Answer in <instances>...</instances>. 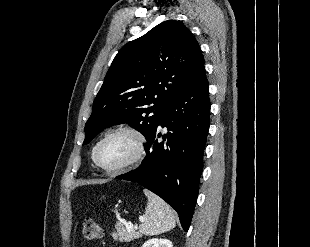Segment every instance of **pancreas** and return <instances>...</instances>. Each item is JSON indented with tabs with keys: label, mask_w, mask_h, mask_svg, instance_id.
I'll return each mask as SVG.
<instances>
[{
	"label": "pancreas",
	"mask_w": 310,
	"mask_h": 247,
	"mask_svg": "<svg viewBox=\"0 0 310 247\" xmlns=\"http://www.w3.org/2000/svg\"><path fill=\"white\" fill-rule=\"evenodd\" d=\"M112 237L116 241L130 242L133 239L140 238L141 235L139 234V232H136L135 230H127L124 227H119L117 229V232L112 233Z\"/></svg>",
	"instance_id": "1"
}]
</instances>
